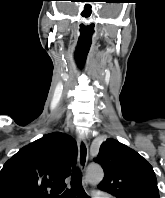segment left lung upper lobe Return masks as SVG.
Masks as SVG:
<instances>
[{"instance_id":"obj_1","label":"left lung upper lobe","mask_w":165,"mask_h":198,"mask_svg":"<svg viewBox=\"0 0 165 198\" xmlns=\"http://www.w3.org/2000/svg\"><path fill=\"white\" fill-rule=\"evenodd\" d=\"M102 165L105 177L100 190L116 198H159L152 166L136 151L115 139H107L94 159Z\"/></svg>"}]
</instances>
